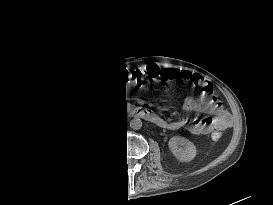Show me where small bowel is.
<instances>
[{"mask_svg": "<svg viewBox=\"0 0 273 205\" xmlns=\"http://www.w3.org/2000/svg\"><path fill=\"white\" fill-rule=\"evenodd\" d=\"M165 75L170 80L181 79L185 82H191L194 85L202 86L198 98H189L184 102L186 111H195L207 114L203 118H193L185 121H170L166 125L169 128L176 129L183 127L192 134L201 135L212 131L218 133L227 128L231 121V114L224 109L222 104L212 96V85L203 77L186 70L170 68L165 71Z\"/></svg>", "mask_w": 273, "mask_h": 205, "instance_id": "obj_1", "label": "small bowel"}]
</instances>
